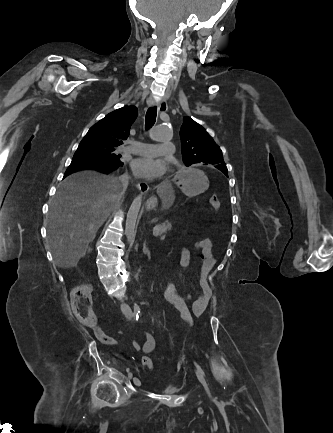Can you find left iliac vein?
Returning a JSON list of instances; mask_svg holds the SVG:
<instances>
[{"mask_svg":"<svg viewBox=\"0 0 333 433\" xmlns=\"http://www.w3.org/2000/svg\"><path fill=\"white\" fill-rule=\"evenodd\" d=\"M195 373H196L197 378H198L199 381L201 382V384L204 386L206 392L209 394V393H210V390H209V388H208L207 382H206V380H205V378H204L202 372H201L200 370L196 369V370H195Z\"/></svg>","mask_w":333,"mask_h":433,"instance_id":"1","label":"left iliac vein"}]
</instances>
